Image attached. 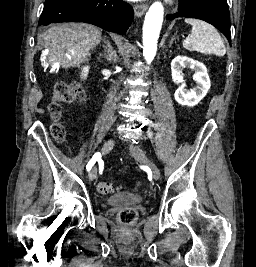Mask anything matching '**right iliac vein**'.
Wrapping results in <instances>:
<instances>
[{
  "label": "right iliac vein",
  "mask_w": 256,
  "mask_h": 267,
  "mask_svg": "<svg viewBox=\"0 0 256 267\" xmlns=\"http://www.w3.org/2000/svg\"><path fill=\"white\" fill-rule=\"evenodd\" d=\"M115 144V139L114 138H110L108 139L102 146V152L103 153H107L108 151H110L113 146ZM89 179L90 180H95L97 177V169L94 167L90 170L89 172Z\"/></svg>",
  "instance_id": "obj_1"
}]
</instances>
